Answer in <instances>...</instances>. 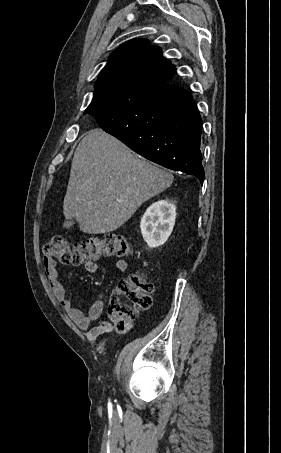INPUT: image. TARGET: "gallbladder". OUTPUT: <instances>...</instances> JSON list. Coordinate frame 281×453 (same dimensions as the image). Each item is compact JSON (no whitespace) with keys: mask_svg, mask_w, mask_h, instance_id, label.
I'll use <instances>...</instances> for the list:
<instances>
[{"mask_svg":"<svg viewBox=\"0 0 281 453\" xmlns=\"http://www.w3.org/2000/svg\"><path fill=\"white\" fill-rule=\"evenodd\" d=\"M74 225H75V224H74L73 222L71 223V221H69V220H66V221H64V223H63V226H64V228H66V229H69V228H71V226L73 227Z\"/></svg>","mask_w":281,"mask_h":453,"instance_id":"obj_1","label":"gallbladder"}]
</instances>
